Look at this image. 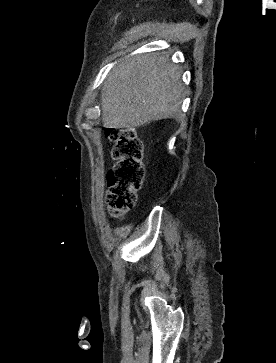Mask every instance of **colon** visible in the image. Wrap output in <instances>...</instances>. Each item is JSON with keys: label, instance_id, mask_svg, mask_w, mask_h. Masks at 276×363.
<instances>
[{"label": "colon", "instance_id": "1", "mask_svg": "<svg viewBox=\"0 0 276 363\" xmlns=\"http://www.w3.org/2000/svg\"><path fill=\"white\" fill-rule=\"evenodd\" d=\"M106 135L114 143L115 161L107 174L106 204L111 216L120 218L135 206L143 181L142 142L131 128H108Z\"/></svg>", "mask_w": 276, "mask_h": 363}]
</instances>
